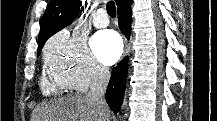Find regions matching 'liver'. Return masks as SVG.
<instances>
[{"label":"liver","instance_id":"1","mask_svg":"<svg viewBox=\"0 0 217 121\" xmlns=\"http://www.w3.org/2000/svg\"><path fill=\"white\" fill-rule=\"evenodd\" d=\"M36 121H110L106 105L100 113L96 101L86 96L75 95L60 98L35 110Z\"/></svg>","mask_w":217,"mask_h":121}]
</instances>
